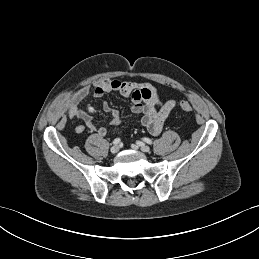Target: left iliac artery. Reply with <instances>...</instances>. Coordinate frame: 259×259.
Here are the masks:
<instances>
[{
    "label": "left iliac artery",
    "mask_w": 259,
    "mask_h": 259,
    "mask_svg": "<svg viewBox=\"0 0 259 259\" xmlns=\"http://www.w3.org/2000/svg\"><path fill=\"white\" fill-rule=\"evenodd\" d=\"M143 141H145L148 144H152V140L149 138H143Z\"/></svg>",
    "instance_id": "obj_1"
}]
</instances>
